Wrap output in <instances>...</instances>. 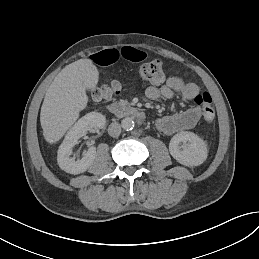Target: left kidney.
Returning <instances> with one entry per match:
<instances>
[{
  "label": "left kidney",
  "mask_w": 259,
  "mask_h": 259,
  "mask_svg": "<svg viewBox=\"0 0 259 259\" xmlns=\"http://www.w3.org/2000/svg\"><path fill=\"white\" fill-rule=\"evenodd\" d=\"M182 144L183 149L180 148ZM172 157L185 167L203 164L208 158V144L201 137L190 131L175 134L169 142Z\"/></svg>",
  "instance_id": "left-kidney-1"
}]
</instances>
